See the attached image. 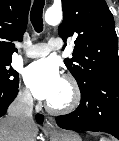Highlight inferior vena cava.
Returning a JSON list of instances; mask_svg holds the SVG:
<instances>
[{"label":"inferior vena cava","instance_id":"inferior-vena-cava-1","mask_svg":"<svg viewBox=\"0 0 119 141\" xmlns=\"http://www.w3.org/2000/svg\"><path fill=\"white\" fill-rule=\"evenodd\" d=\"M33 98L30 92L18 95L8 108V117L12 118L21 131H28L34 125L32 116Z\"/></svg>","mask_w":119,"mask_h":141}]
</instances>
